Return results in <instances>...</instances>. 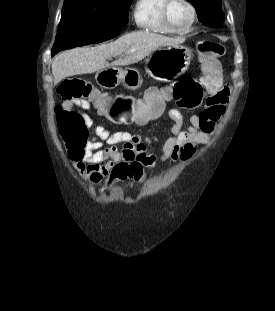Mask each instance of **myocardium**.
<instances>
[{
    "label": "myocardium",
    "mask_w": 275,
    "mask_h": 311,
    "mask_svg": "<svg viewBox=\"0 0 275 311\" xmlns=\"http://www.w3.org/2000/svg\"><path fill=\"white\" fill-rule=\"evenodd\" d=\"M174 1L175 0H165V3L163 5V7H162V19H163V22L166 25V27L173 33H186L188 31H190L193 28V26L195 25V23H196V20H197V9H196L194 4L190 0H183L188 5V7L191 10V20H190L189 24L186 27H184V28H177V27H175L172 24V22H171V20L169 18V8H170L171 4Z\"/></svg>",
    "instance_id": "myocardium-1"
}]
</instances>
